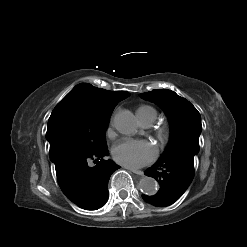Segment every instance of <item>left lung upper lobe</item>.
<instances>
[{
    "mask_svg": "<svg viewBox=\"0 0 247 247\" xmlns=\"http://www.w3.org/2000/svg\"><path fill=\"white\" fill-rule=\"evenodd\" d=\"M141 97L160 105L169 118L170 141L163 156L177 152L196 155L202 130L201 116L197 109L188 100L167 89L142 93Z\"/></svg>",
    "mask_w": 247,
    "mask_h": 247,
    "instance_id": "5c2ea615",
    "label": "left lung upper lobe"
}]
</instances>
